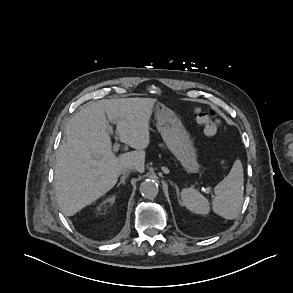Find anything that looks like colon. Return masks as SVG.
<instances>
[{
    "label": "colon",
    "instance_id": "1",
    "mask_svg": "<svg viewBox=\"0 0 293 293\" xmlns=\"http://www.w3.org/2000/svg\"><path fill=\"white\" fill-rule=\"evenodd\" d=\"M195 117L197 122L203 126L204 133L207 136H214L218 133L221 120L216 111L196 108Z\"/></svg>",
    "mask_w": 293,
    "mask_h": 293
}]
</instances>
